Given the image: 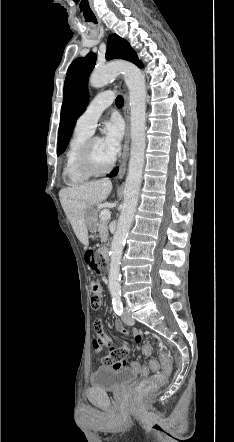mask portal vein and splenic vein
I'll list each match as a JSON object with an SVG mask.
<instances>
[{"label":"portal vein and splenic vein","instance_id":"18ae733b","mask_svg":"<svg viewBox=\"0 0 234 442\" xmlns=\"http://www.w3.org/2000/svg\"><path fill=\"white\" fill-rule=\"evenodd\" d=\"M110 216H111V213H110V210H108V209H103L100 212V219L103 221L108 220L110 218Z\"/></svg>","mask_w":234,"mask_h":442}]
</instances>
